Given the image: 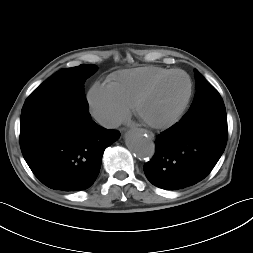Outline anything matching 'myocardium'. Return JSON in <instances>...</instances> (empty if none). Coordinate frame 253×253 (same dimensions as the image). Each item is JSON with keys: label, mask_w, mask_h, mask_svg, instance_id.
Returning <instances> with one entry per match:
<instances>
[{"label": "myocardium", "mask_w": 253, "mask_h": 253, "mask_svg": "<svg viewBox=\"0 0 253 253\" xmlns=\"http://www.w3.org/2000/svg\"><path fill=\"white\" fill-rule=\"evenodd\" d=\"M174 74L183 75L187 79V83H188V90H187L186 96L183 99L180 106L178 107L177 111L174 113V115L171 118H169L168 120L163 121V122H152V121L145 119L143 117L142 111H141L143 103L152 94V92L158 87L159 84H161L164 80H166L167 78H169L170 76H172ZM192 92H193V84H192V80H191L190 76L185 71H183L181 69H173V70H170L167 73L159 76L154 81H152L138 95V97L136 98V100L134 102L133 109H134L136 116L146 125H148L152 128H155V129H166V128L173 126L175 123H177L180 120V118L184 114V112L190 102Z\"/></svg>", "instance_id": "1"}]
</instances>
